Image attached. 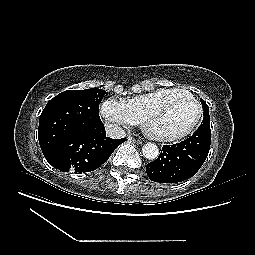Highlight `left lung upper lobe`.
<instances>
[{
    "label": "left lung upper lobe",
    "mask_w": 255,
    "mask_h": 255,
    "mask_svg": "<svg viewBox=\"0 0 255 255\" xmlns=\"http://www.w3.org/2000/svg\"><path fill=\"white\" fill-rule=\"evenodd\" d=\"M200 101L202 103V107H203V111H204V113H203L204 118L203 119H205L206 117H209V107L203 99H200Z\"/></svg>",
    "instance_id": "left-lung-upper-lobe-1"
}]
</instances>
